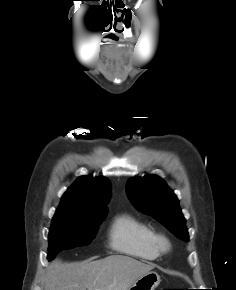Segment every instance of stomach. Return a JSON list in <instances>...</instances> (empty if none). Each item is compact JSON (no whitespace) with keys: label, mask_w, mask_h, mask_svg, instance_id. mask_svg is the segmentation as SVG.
<instances>
[{"label":"stomach","mask_w":236,"mask_h":290,"mask_svg":"<svg viewBox=\"0 0 236 290\" xmlns=\"http://www.w3.org/2000/svg\"><path fill=\"white\" fill-rule=\"evenodd\" d=\"M160 281L159 274L155 271H150L136 279L127 290H155Z\"/></svg>","instance_id":"stomach-1"}]
</instances>
